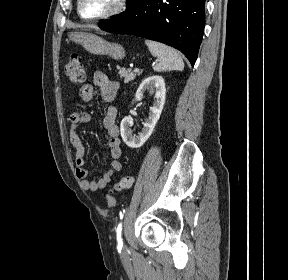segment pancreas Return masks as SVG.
Wrapping results in <instances>:
<instances>
[{"instance_id": "cf45deb5", "label": "pancreas", "mask_w": 288, "mask_h": 280, "mask_svg": "<svg viewBox=\"0 0 288 280\" xmlns=\"http://www.w3.org/2000/svg\"><path fill=\"white\" fill-rule=\"evenodd\" d=\"M117 70L121 78H124L125 83H129L136 78V74L131 71V69H125L117 67Z\"/></svg>"}]
</instances>
